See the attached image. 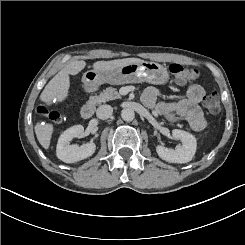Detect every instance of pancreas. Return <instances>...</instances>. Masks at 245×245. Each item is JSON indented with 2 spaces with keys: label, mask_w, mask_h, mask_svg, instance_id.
Segmentation results:
<instances>
[{
  "label": "pancreas",
  "mask_w": 245,
  "mask_h": 245,
  "mask_svg": "<svg viewBox=\"0 0 245 245\" xmlns=\"http://www.w3.org/2000/svg\"><path fill=\"white\" fill-rule=\"evenodd\" d=\"M115 99H121V95L118 92V89L114 87H107L102 91L101 94L90 96L87 103L96 105L102 102L115 100Z\"/></svg>",
  "instance_id": "pancreas-1"
}]
</instances>
